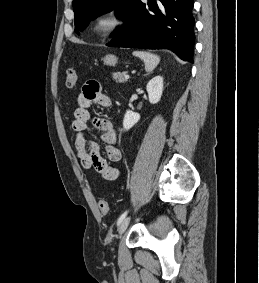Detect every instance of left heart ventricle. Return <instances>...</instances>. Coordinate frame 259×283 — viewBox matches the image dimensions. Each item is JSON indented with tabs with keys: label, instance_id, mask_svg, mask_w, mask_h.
<instances>
[{
	"label": "left heart ventricle",
	"instance_id": "b2bd125f",
	"mask_svg": "<svg viewBox=\"0 0 259 283\" xmlns=\"http://www.w3.org/2000/svg\"><path fill=\"white\" fill-rule=\"evenodd\" d=\"M106 27H107V23H102V24L99 26L100 29H105Z\"/></svg>",
	"mask_w": 259,
	"mask_h": 283
}]
</instances>
